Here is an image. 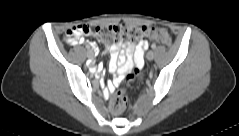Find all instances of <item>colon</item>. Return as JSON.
Here are the masks:
<instances>
[{
    "label": "colon",
    "instance_id": "5ec220e1",
    "mask_svg": "<svg viewBox=\"0 0 239 136\" xmlns=\"http://www.w3.org/2000/svg\"><path fill=\"white\" fill-rule=\"evenodd\" d=\"M96 34L102 40L108 42H117L121 37H127L132 41H140L145 38H149L153 41L161 44L168 45L171 42L170 34L162 28L158 27H140L130 25H108V26H97L91 28L86 24L76 25L65 33V40L68 43H74L82 35ZM142 76V69L135 67L133 70L128 72L125 79L128 82H133L140 79ZM127 105V98L124 90H117L110 100V111L114 115L122 113Z\"/></svg>",
    "mask_w": 239,
    "mask_h": 136
}]
</instances>
